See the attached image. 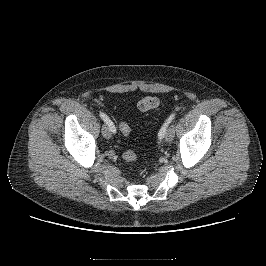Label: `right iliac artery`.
<instances>
[{
  "instance_id": "obj_1",
  "label": "right iliac artery",
  "mask_w": 266,
  "mask_h": 266,
  "mask_svg": "<svg viewBox=\"0 0 266 266\" xmlns=\"http://www.w3.org/2000/svg\"><path fill=\"white\" fill-rule=\"evenodd\" d=\"M99 115L103 119V121L108 125L111 132L116 133V128H115L113 122L109 119V117L106 114H104L103 112H100Z\"/></svg>"
}]
</instances>
